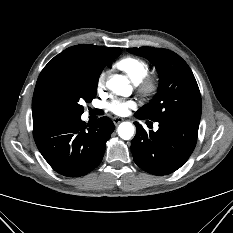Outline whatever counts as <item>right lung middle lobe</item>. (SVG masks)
<instances>
[{
	"label": "right lung middle lobe",
	"instance_id": "1",
	"mask_svg": "<svg viewBox=\"0 0 233 233\" xmlns=\"http://www.w3.org/2000/svg\"><path fill=\"white\" fill-rule=\"evenodd\" d=\"M120 51V48H109L98 61L66 67L55 76L49 99L60 117L82 115V103H89L95 97L99 75L108 63L120 55Z\"/></svg>",
	"mask_w": 233,
	"mask_h": 233
}]
</instances>
